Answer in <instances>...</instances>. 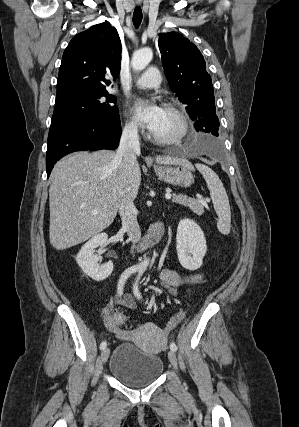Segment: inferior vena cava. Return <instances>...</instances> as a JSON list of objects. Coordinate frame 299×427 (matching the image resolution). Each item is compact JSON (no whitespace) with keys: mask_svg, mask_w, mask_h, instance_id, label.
Returning <instances> with one entry per match:
<instances>
[{"mask_svg":"<svg viewBox=\"0 0 299 427\" xmlns=\"http://www.w3.org/2000/svg\"><path fill=\"white\" fill-rule=\"evenodd\" d=\"M140 153L138 130L134 126H126L123 129L120 144L116 152V159L123 160L124 172L131 173L137 160L136 155ZM119 214L122 226L126 229L129 239L136 244L141 239V231L137 222V209L133 199L125 192L119 203Z\"/></svg>","mask_w":299,"mask_h":427,"instance_id":"602c4592","label":"inferior vena cava"}]
</instances>
